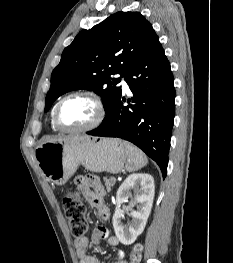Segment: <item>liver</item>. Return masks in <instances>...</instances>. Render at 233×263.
I'll list each match as a JSON object with an SVG mask.
<instances>
[{"label": "liver", "mask_w": 233, "mask_h": 263, "mask_svg": "<svg viewBox=\"0 0 233 263\" xmlns=\"http://www.w3.org/2000/svg\"><path fill=\"white\" fill-rule=\"evenodd\" d=\"M58 138H61V136H46L42 139V143L43 142H46V141H50V140H53V139H58Z\"/></svg>", "instance_id": "liver-1"}]
</instances>
